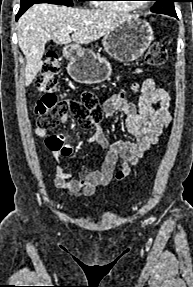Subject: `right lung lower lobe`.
<instances>
[{"label": "right lung lower lobe", "instance_id": "right-lung-lower-lobe-1", "mask_svg": "<svg viewBox=\"0 0 193 287\" xmlns=\"http://www.w3.org/2000/svg\"><path fill=\"white\" fill-rule=\"evenodd\" d=\"M32 6V4H25V5H21L19 12L16 15V20H18V18L30 7Z\"/></svg>", "mask_w": 193, "mask_h": 287}]
</instances>
